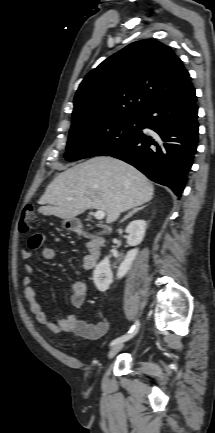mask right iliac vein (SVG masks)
Wrapping results in <instances>:
<instances>
[{"label": "right iliac vein", "instance_id": "1", "mask_svg": "<svg viewBox=\"0 0 215 433\" xmlns=\"http://www.w3.org/2000/svg\"><path fill=\"white\" fill-rule=\"evenodd\" d=\"M123 347H124V344L121 342L113 345L108 352V358L112 359L114 356H116L122 350Z\"/></svg>", "mask_w": 215, "mask_h": 433}]
</instances>
